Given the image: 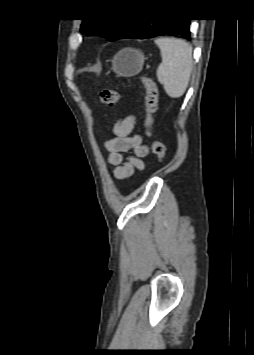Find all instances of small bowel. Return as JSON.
<instances>
[{"mask_svg": "<svg viewBox=\"0 0 254 355\" xmlns=\"http://www.w3.org/2000/svg\"><path fill=\"white\" fill-rule=\"evenodd\" d=\"M134 126V115L113 123L115 137L105 142L109 152L107 160L114 166L113 174L117 179H127L134 170H144L147 166L144 158L149 154V147L139 134L132 133Z\"/></svg>", "mask_w": 254, "mask_h": 355, "instance_id": "c3829d8e", "label": "small bowel"}]
</instances>
